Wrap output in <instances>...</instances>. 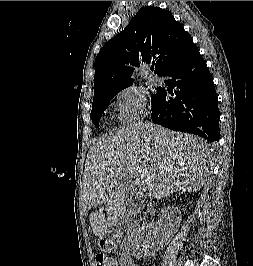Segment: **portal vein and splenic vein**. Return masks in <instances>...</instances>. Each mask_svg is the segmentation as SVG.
<instances>
[{
	"mask_svg": "<svg viewBox=\"0 0 253 266\" xmlns=\"http://www.w3.org/2000/svg\"><path fill=\"white\" fill-rule=\"evenodd\" d=\"M129 183H131L132 188H137V186L139 185L138 179L132 177L130 178Z\"/></svg>",
	"mask_w": 253,
	"mask_h": 266,
	"instance_id": "1",
	"label": "portal vein and splenic vein"
}]
</instances>
